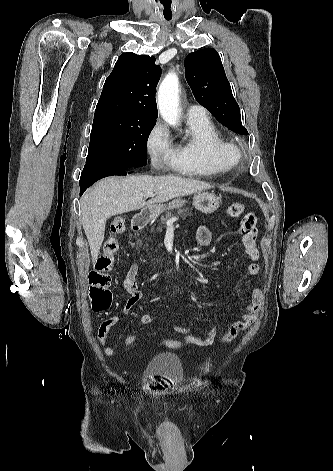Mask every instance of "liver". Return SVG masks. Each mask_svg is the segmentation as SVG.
I'll use <instances>...</instances> for the list:
<instances>
[{"label": "liver", "mask_w": 333, "mask_h": 471, "mask_svg": "<svg viewBox=\"0 0 333 471\" xmlns=\"http://www.w3.org/2000/svg\"><path fill=\"white\" fill-rule=\"evenodd\" d=\"M211 188L213 186L208 183L173 175H139L122 179L110 177L99 181L81 198L83 229L92 262L98 258L106 222L111 216ZM148 192H154L155 197L146 202Z\"/></svg>", "instance_id": "1"}]
</instances>
